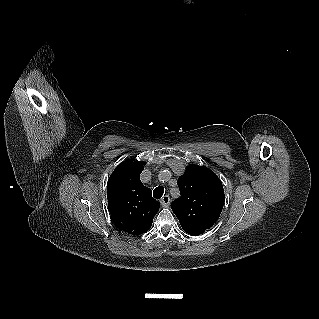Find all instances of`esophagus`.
Wrapping results in <instances>:
<instances>
[{
    "label": "esophagus",
    "mask_w": 319,
    "mask_h": 319,
    "mask_svg": "<svg viewBox=\"0 0 319 319\" xmlns=\"http://www.w3.org/2000/svg\"><path fill=\"white\" fill-rule=\"evenodd\" d=\"M160 203L163 207H168L170 205V197L168 195H164Z\"/></svg>",
    "instance_id": "obj_1"
}]
</instances>
